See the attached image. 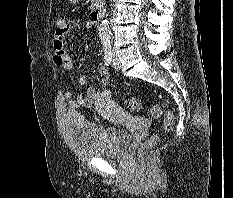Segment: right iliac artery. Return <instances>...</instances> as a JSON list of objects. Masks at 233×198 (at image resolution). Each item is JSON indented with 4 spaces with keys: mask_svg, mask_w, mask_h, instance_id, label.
Returning <instances> with one entry per match:
<instances>
[{
    "mask_svg": "<svg viewBox=\"0 0 233 198\" xmlns=\"http://www.w3.org/2000/svg\"><path fill=\"white\" fill-rule=\"evenodd\" d=\"M104 59H105V65L109 66L112 62L113 54L111 49L110 43H104Z\"/></svg>",
    "mask_w": 233,
    "mask_h": 198,
    "instance_id": "82829eb1",
    "label": "right iliac artery"
}]
</instances>
